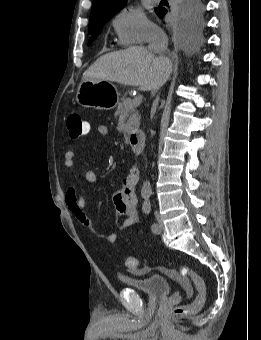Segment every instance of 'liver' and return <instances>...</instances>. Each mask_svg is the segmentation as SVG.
Returning <instances> with one entry per match:
<instances>
[{"mask_svg": "<svg viewBox=\"0 0 261 340\" xmlns=\"http://www.w3.org/2000/svg\"><path fill=\"white\" fill-rule=\"evenodd\" d=\"M171 60L156 56L141 46L111 52L99 57L83 74V80L100 79L123 85L139 86L155 91L166 74H170Z\"/></svg>", "mask_w": 261, "mask_h": 340, "instance_id": "1", "label": "liver"}]
</instances>
